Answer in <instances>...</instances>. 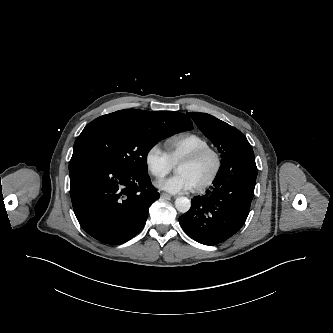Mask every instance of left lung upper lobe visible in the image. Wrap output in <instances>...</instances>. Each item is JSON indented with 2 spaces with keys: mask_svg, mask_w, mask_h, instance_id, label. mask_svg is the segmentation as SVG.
<instances>
[{
  "mask_svg": "<svg viewBox=\"0 0 333 333\" xmlns=\"http://www.w3.org/2000/svg\"><path fill=\"white\" fill-rule=\"evenodd\" d=\"M222 154V161L230 154L250 145L246 137L236 128L206 113H187Z\"/></svg>",
  "mask_w": 333,
  "mask_h": 333,
  "instance_id": "1",
  "label": "left lung upper lobe"
}]
</instances>
